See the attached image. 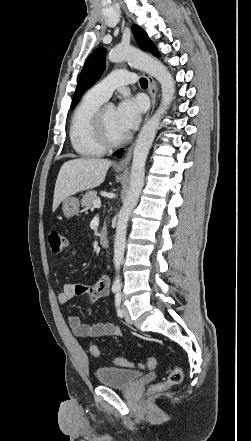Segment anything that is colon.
<instances>
[{"label":"colon","mask_w":251,"mask_h":441,"mask_svg":"<svg viewBox=\"0 0 251 441\" xmlns=\"http://www.w3.org/2000/svg\"><path fill=\"white\" fill-rule=\"evenodd\" d=\"M48 244L51 249V251L55 254L61 253L64 248L67 245V239L64 234L57 230H52L48 234ZM89 352L93 357H98L100 352L96 345H91L89 348ZM114 362L124 368H133L135 366L142 367V368H153L156 364V361L154 358H148L144 363H135L130 360L116 357L114 359ZM182 381V371L179 367L174 366L170 370L168 376L165 378L164 381L156 383L153 385L152 390L153 391H162L169 387L175 386L179 384Z\"/></svg>","instance_id":"obj_1"}]
</instances>
